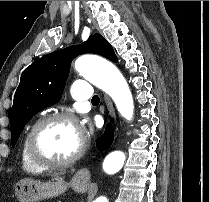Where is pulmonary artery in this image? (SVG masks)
Listing matches in <instances>:
<instances>
[{"instance_id": "1", "label": "pulmonary artery", "mask_w": 209, "mask_h": 202, "mask_svg": "<svg viewBox=\"0 0 209 202\" xmlns=\"http://www.w3.org/2000/svg\"><path fill=\"white\" fill-rule=\"evenodd\" d=\"M73 97L76 101L92 100V86L86 79L80 78L72 84Z\"/></svg>"}]
</instances>
